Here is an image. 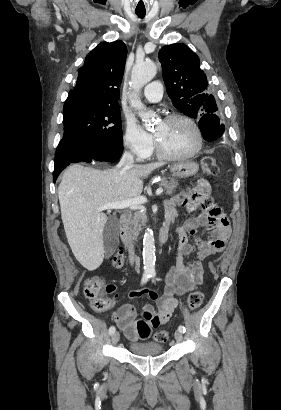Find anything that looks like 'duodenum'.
Instances as JSON below:
<instances>
[{
    "label": "duodenum",
    "mask_w": 281,
    "mask_h": 410,
    "mask_svg": "<svg viewBox=\"0 0 281 410\" xmlns=\"http://www.w3.org/2000/svg\"><path fill=\"white\" fill-rule=\"evenodd\" d=\"M130 219L128 213H124L119 218V227L122 241L126 248L130 247L131 237L127 231V224ZM168 236V226L164 225L159 232V243L163 244L166 242Z\"/></svg>",
    "instance_id": "duodenum-1"
}]
</instances>
